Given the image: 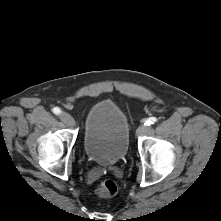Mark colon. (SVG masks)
<instances>
[{"label":"colon","mask_w":221,"mask_h":221,"mask_svg":"<svg viewBox=\"0 0 221 221\" xmlns=\"http://www.w3.org/2000/svg\"><path fill=\"white\" fill-rule=\"evenodd\" d=\"M117 191L118 186L113 180H104L95 189V193L100 197H112Z\"/></svg>","instance_id":"obj_1"}]
</instances>
